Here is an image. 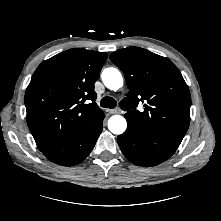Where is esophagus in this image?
I'll return each mask as SVG.
<instances>
[{"instance_id":"34e87169","label":"esophagus","mask_w":221,"mask_h":221,"mask_svg":"<svg viewBox=\"0 0 221 221\" xmlns=\"http://www.w3.org/2000/svg\"><path fill=\"white\" fill-rule=\"evenodd\" d=\"M107 112L109 114H119L120 113V109L116 108V109H107Z\"/></svg>"}]
</instances>
